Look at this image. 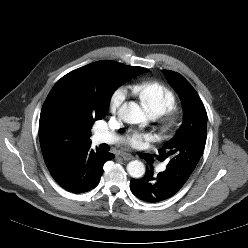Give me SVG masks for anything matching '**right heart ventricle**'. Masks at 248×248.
I'll return each instance as SVG.
<instances>
[{"mask_svg": "<svg viewBox=\"0 0 248 248\" xmlns=\"http://www.w3.org/2000/svg\"><path fill=\"white\" fill-rule=\"evenodd\" d=\"M131 91L153 117H158L173 109L177 103L174 91L159 81L135 83L131 86Z\"/></svg>", "mask_w": 248, "mask_h": 248, "instance_id": "right-heart-ventricle-1", "label": "right heart ventricle"}]
</instances>
